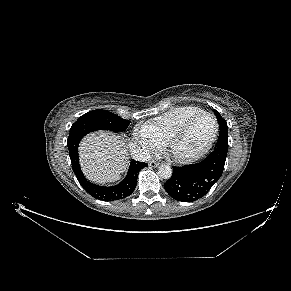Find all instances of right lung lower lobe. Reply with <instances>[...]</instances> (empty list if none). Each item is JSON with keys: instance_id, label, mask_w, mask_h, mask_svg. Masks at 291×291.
<instances>
[{"instance_id": "1", "label": "right lung lower lobe", "mask_w": 291, "mask_h": 291, "mask_svg": "<svg viewBox=\"0 0 291 291\" xmlns=\"http://www.w3.org/2000/svg\"><path fill=\"white\" fill-rule=\"evenodd\" d=\"M99 130L98 127L91 124H73L70 129V135L67 139V146L70 153L72 169L81 184V186L93 197L104 201H114L123 199L131 195L136 187L138 173L148 164L138 161H132L124 180L111 187L99 186L88 181L80 168L78 158V145L80 140L86 134Z\"/></svg>"}]
</instances>
